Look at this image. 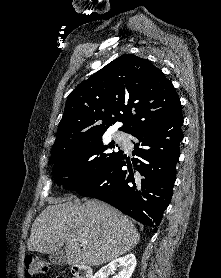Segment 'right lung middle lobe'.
<instances>
[{"instance_id":"dd1d6c3e","label":"right lung middle lobe","mask_w":221,"mask_h":278,"mask_svg":"<svg viewBox=\"0 0 221 278\" xmlns=\"http://www.w3.org/2000/svg\"><path fill=\"white\" fill-rule=\"evenodd\" d=\"M105 150L102 136H91L81 142L52 150L49 164L55 163L53 176L57 185L76 190L92 181L121 153H105Z\"/></svg>"}]
</instances>
